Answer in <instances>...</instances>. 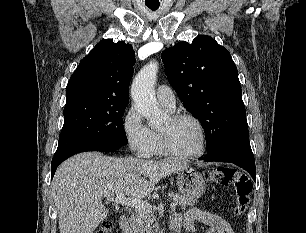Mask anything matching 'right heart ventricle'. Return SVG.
I'll use <instances>...</instances> for the list:
<instances>
[{
    "instance_id": "1",
    "label": "right heart ventricle",
    "mask_w": 306,
    "mask_h": 233,
    "mask_svg": "<svg viewBox=\"0 0 306 233\" xmlns=\"http://www.w3.org/2000/svg\"><path fill=\"white\" fill-rule=\"evenodd\" d=\"M155 134V151L154 153L157 155H164L165 151L162 146L161 136L159 131H154Z\"/></svg>"
}]
</instances>
